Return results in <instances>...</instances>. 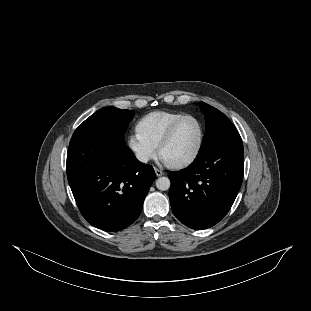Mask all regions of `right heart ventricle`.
Returning a JSON list of instances; mask_svg holds the SVG:
<instances>
[{"mask_svg": "<svg viewBox=\"0 0 311 311\" xmlns=\"http://www.w3.org/2000/svg\"><path fill=\"white\" fill-rule=\"evenodd\" d=\"M183 115L185 113L182 112H149L136 122V134L143 142L156 149L170 127Z\"/></svg>", "mask_w": 311, "mask_h": 311, "instance_id": "right-heart-ventricle-1", "label": "right heart ventricle"}]
</instances>
